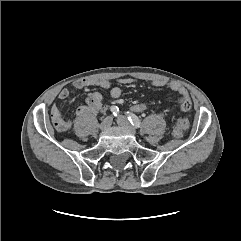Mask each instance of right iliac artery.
Masks as SVG:
<instances>
[{
    "label": "right iliac artery",
    "instance_id": "82829eb1",
    "mask_svg": "<svg viewBox=\"0 0 241 241\" xmlns=\"http://www.w3.org/2000/svg\"><path fill=\"white\" fill-rule=\"evenodd\" d=\"M110 110L114 116H117L119 114V108L117 106H111Z\"/></svg>",
    "mask_w": 241,
    "mask_h": 241
}]
</instances>
